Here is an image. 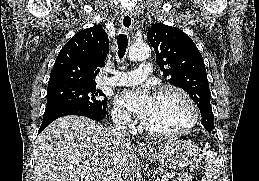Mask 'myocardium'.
Instances as JSON below:
<instances>
[{"label": "myocardium", "instance_id": "myocardium-1", "mask_svg": "<svg viewBox=\"0 0 259 181\" xmlns=\"http://www.w3.org/2000/svg\"><path fill=\"white\" fill-rule=\"evenodd\" d=\"M165 93H173L177 95L185 103L188 110L187 122L178 128L170 129V130L154 129L149 127L145 122H142L143 129L150 135L158 136V137H171V136H177L188 132L195 126V124L198 121V110L194 101L185 90H183L182 88L176 85L167 84V85L161 86L156 90L155 96H161Z\"/></svg>", "mask_w": 259, "mask_h": 181}]
</instances>
